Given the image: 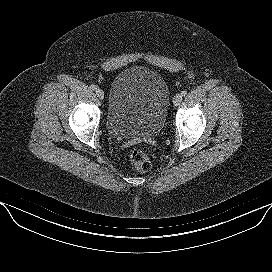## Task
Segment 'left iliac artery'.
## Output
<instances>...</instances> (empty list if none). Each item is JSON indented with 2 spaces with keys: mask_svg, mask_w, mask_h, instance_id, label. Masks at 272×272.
<instances>
[{
  "mask_svg": "<svg viewBox=\"0 0 272 272\" xmlns=\"http://www.w3.org/2000/svg\"><path fill=\"white\" fill-rule=\"evenodd\" d=\"M181 95H182V96L187 95V91H186V90H183V91L181 92Z\"/></svg>",
  "mask_w": 272,
  "mask_h": 272,
  "instance_id": "1",
  "label": "left iliac artery"
}]
</instances>
